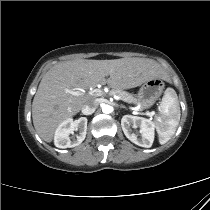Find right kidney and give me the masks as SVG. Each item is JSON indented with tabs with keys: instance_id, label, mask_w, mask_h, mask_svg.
Here are the masks:
<instances>
[{
	"instance_id": "1",
	"label": "right kidney",
	"mask_w": 210,
	"mask_h": 210,
	"mask_svg": "<svg viewBox=\"0 0 210 210\" xmlns=\"http://www.w3.org/2000/svg\"><path fill=\"white\" fill-rule=\"evenodd\" d=\"M74 131L78 134L70 138L69 135ZM87 118L81 117L77 120L68 118L59 124L54 135V144L58 148H71L80 145L86 137Z\"/></svg>"
}]
</instances>
